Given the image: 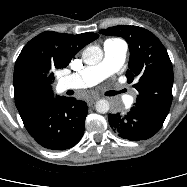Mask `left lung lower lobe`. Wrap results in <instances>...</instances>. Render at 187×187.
Listing matches in <instances>:
<instances>
[{"instance_id":"0a47b994","label":"left lung lower lobe","mask_w":187,"mask_h":187,"mask_svg":"<svg viewBox=\"0 0 187 187\" xmlns=\"http://www.w3.org/2000/svg\"><path fill=\"white\" fill-rule=\"evenodd\" d=\"M109 124L113 131L130 141L146 140L156 134L164 120L137 107H132L126 115L109 114Z\"/></svg>"}]
</instances>
